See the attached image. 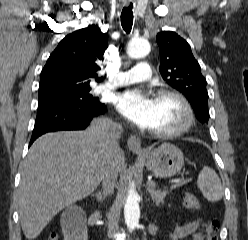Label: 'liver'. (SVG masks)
I'll return each instance as SVG.
<instances>
[{
	"instance_id": "1",
	"label": "liver",
	"mask_w": 248,
	"mask_h": 240,
	"mask_svg": "<svg viewBox=\"0 0 248 240\" xmlns=\"http://www.w3.org/2000/svg\"><path fill=\"white\" fill-rule=\"evenodd\" d=\"M107 118L94 119L84 131L47 133L31 146L22 164L18 189L21 226L35 239L65 207L90 195L104 174ZM117 170L124 154L113 152Z\"/></svg>"
}]
</instances>
